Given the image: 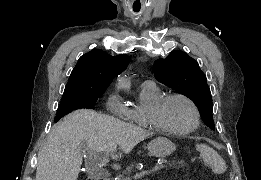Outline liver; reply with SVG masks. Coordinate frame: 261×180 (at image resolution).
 Listing matches in <instances>:
<instances>
[{"mask_svg": "<svg viewBox=\"0 0 261 180\" xmlns=\"http://www.w3.org/2000/svg\"><path fill=\"white\" fill-rule=\"evenodd\" d=\"M153 134L95 110H76L53 126L38 156L36 180H77L83 160L96 162L98 152H112L117 160Z\"/></svg>", "mask_w": 261, "mask_h": 180, "instance_id": "1", "label": "liver"}]
</instances>
